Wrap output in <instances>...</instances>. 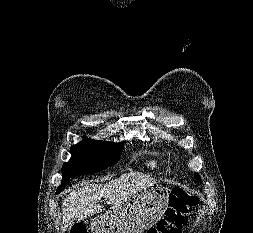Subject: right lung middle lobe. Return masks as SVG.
I'll use <instances>...</instances> for the list:
<instances>
[{"mask_svg": "<svg viewBox=\"0 0 253 233\" xmlns=\"http://www.w3.org/2000/svg\"><path fill=\"white\" fill-rule=\"evenodd\" d=\"M122 143L85 139L71 146V159L62 167V183L79 174L93 173L116 164Z\"/></svg>", "mask_w": 253, "mask_h": 233, "instance_id": "dd1d6c3e", "label": "right lung middle lobe"}]
</instances>
